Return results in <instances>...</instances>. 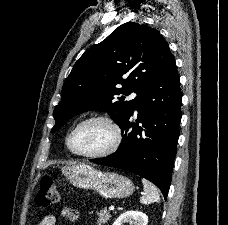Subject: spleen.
I'll list each match as a JSON object with an SVG mask.
<instances>
[{
  "instance_id": "3e777b00",
  "label": "spleen",
  "mask_w": 228,
  "mask_h": 225,
  "mask_svg": "<svg viewBox=\"0 0 228 225\" xmlns=\"http://www.w3.org/2000/svg\"><path fill=\"white\" fill-rule=\"evenodd\" d=\"M142 183L144 185V193L143 197H140V203L142 205H150V203H159L160 201V195L152 185V183H149V181H146V179H142Z\"/></svg>"
}]
</instances>
